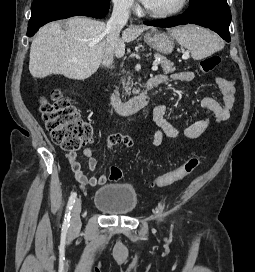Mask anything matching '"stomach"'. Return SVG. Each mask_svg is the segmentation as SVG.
I'll return each mask as SVG.
<instances>
[{
	"mask_svg": "<svg viewBox=\"0 0 255 272\" xmlns=\"http://www.w3.org/2000/svg\"><path fill=\"white\" fill-rule=\"evenodd\" d=\"M144 41L154 50L162 54L172 53L175 41L170 33L152 29L144 35Z\"/></svg>",
	"mask_w": 255,
	"mask_h": 272,
	"instance_id": "0dacf381",
	"label": "stomach"
}]
</instances>
